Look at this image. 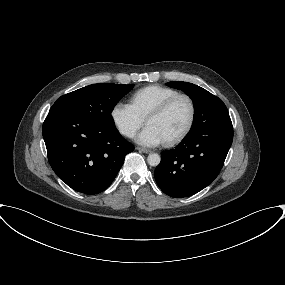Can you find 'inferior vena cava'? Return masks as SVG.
I'll list each match as a JSON object with an SVG mask.
<instances>
[{
	"mask_svg": "<svg viewBox=\"0 0 285 285\" xmlns=\"http://www.w3.org/2000/svg\"><path fill=\"white\" fill-rule=\"evenodd\" d=\"M133 135V132H131L130 134H129V136H132Z\"/></svg>",
	"mask_w": 285,
	"mask_h": 285,
	"instance_id": "602c4592",
	"label": "inferior vena cava"
}]
</instances>
